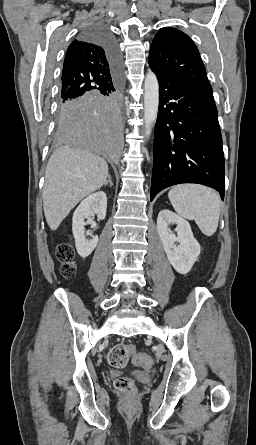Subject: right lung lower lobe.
Masks as SVG:
<instances>
[{
    "instance_id": "1",
    "label": "right lung lower lobe",
    "mask_w": 256,
    "mask_h": 445,
    "mask_svg": "<svg viewBox=\"0 0 256 445\" xmlns=\"http://www.w3.org/2000/svg\"><path fill=\"white\" fill-rule=\"evenodd\" d=\"M82 34L105 50L112 67L119 74V50L112 34L100 24L89 25ZM119 91L116 80L111 89L59 100V141L86 149L109 161H118L122 151Z\"/></svg>"
}]
</instances>
